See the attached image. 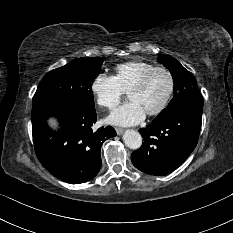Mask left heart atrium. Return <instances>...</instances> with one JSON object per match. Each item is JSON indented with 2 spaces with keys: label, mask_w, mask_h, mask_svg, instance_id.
<instances>
[{
  "label": "left heart atrium",
  "mask_w": 233,
  "mask_h": 233,
  "mask_svg": "<svg viewBox=\"0 0 233 233\" xmlns=\"http://www.w3.org/2000/svg\"><path fill=\"white\" fill-rule=\"evenodd\" d=\"M145 115L146 112L137 102L130 101L114 109L107 120L115 125L132 126L140 123Z\"/></svg>",
  "instance_id": "1"
}]
</instances>
